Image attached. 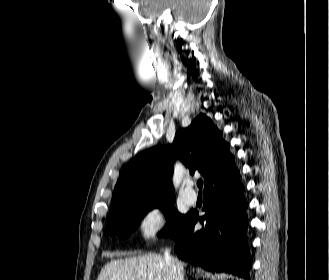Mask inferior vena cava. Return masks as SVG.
I'll return each instance as SVG.
<instances>
[{
	"instance_id": "602c4592",
	"label": "inferior vena cava",
	"mask_w": 329,
	"mask_h": 280,
	"mask_svg": "<svg viewBox=\"0 0 329 280\" xmlns=\"http://www.w3.org/2000/svg\"><path fill=\"white\" fill-rule=\"evenodd\" d=\"M164 258L168 266L170 267L172 280H184V273L181 264L177 259H174L170 255V250L166 249L164 252Z\"/></svg>"
}]
</instances>
